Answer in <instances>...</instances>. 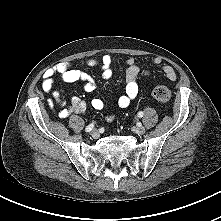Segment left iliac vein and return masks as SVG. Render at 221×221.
Segmentation results:
<instances>
[{"label":"left iliac vein","instance_id":"obj_1","mask_svg":"<svg viewBox=\"0 0 221 221\" xmlns=\"http://www.w3.org/2000/svg\"><path fill=\"white\" fill-rule=\"evenodd\" d=\"M134 132L138 135H142L145 133V128L143 126H138L134 129Z\"/></svg>","mask_w":221,"mask_h":221}]
</instances>
